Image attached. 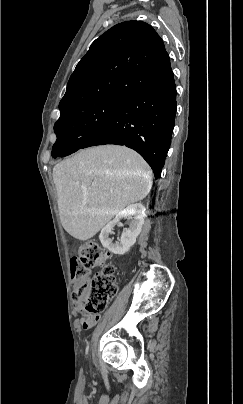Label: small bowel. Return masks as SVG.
Here are the masks:
<instances>
[{"label": "small bowel", "instance_id": "c3829d8e", "mask_svg": "<svg viewBox=\"0 0 243 404\" xmlns=\"http://www.w3.org/2000/svg\"><path fill=\"white\" fill-rule=\"evenodd\" d=\"M77 310H78L79 312H81V313L84 312V309H83V307H82L81 305H78ZM98 320H99V316H97V315H95V316H90V315H88V314L86 313L85 316H84L82 319H80L79 325H80L83 329L87 330V329L92 328V327L97 323Z\"/></svg>", "mask_w": 243, "mask_h": 404}]
</instances>
